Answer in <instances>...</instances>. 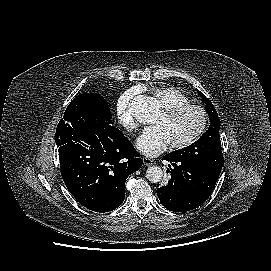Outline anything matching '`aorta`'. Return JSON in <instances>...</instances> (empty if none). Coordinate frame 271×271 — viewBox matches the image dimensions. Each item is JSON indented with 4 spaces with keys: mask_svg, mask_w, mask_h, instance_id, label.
<instances>
[{
    "mask_svg": "<svg viewBox=\"0 0 271 271\" xmlns=\"http://www.w3.org/2000/svg\"><path fill=\"white\" fill-rule=\"evenodd\" d=\"M137 104L135 112L138 120L143 123L150 122L157 112V102L152 97L145 96ZM162 176L163 171L159 166H151L146 171V178L152 183L161 181Z\"/></svg>",
    "mask_w": 271,
    "mask_h": 271,
    "instance_id": "obj_1",
    "label": "aorta"
}]
</instances>
